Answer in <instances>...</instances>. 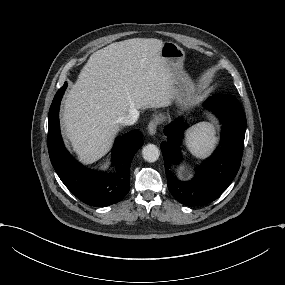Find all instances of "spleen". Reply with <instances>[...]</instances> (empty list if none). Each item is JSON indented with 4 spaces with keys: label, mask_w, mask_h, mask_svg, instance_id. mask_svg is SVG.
Masks as SVG:
<instances>
[{
    "label": "spleen",
    "mask_w": 285,
    "mask_h": 285,
    "mask_svg": "<svg viewBox=\"0 0 285 285\" xmlns=\"http://www.w3.org/2000/svg\"><path fill=\"white\" fill-rule=\"evenodd\" d=\"M214 125L202 122L193 126L188 134L187 146L198 156L208 154L216 138L214 137Z\"/></svg>",
    "instance_id": "1"
}]
</instances>
